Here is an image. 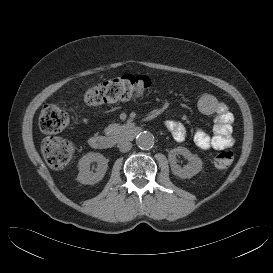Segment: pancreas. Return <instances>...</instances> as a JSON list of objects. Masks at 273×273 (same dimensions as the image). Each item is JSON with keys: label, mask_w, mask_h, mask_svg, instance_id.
<instances>
[{"label": "pancreas", "mask_w": 273, "mask_h": 273, "mask_svg": "<svg viewBox=\"0 0 273 273\" xmlns=\"http://www.w3.org/2000/svg\"><path fill=\"white\" fill-rule=\"evenodd\" d=\"M124 130V127L120 124H110L104 129L106 135H118Z\"/></svg>", "instance_id": "1"}]
</instances>
